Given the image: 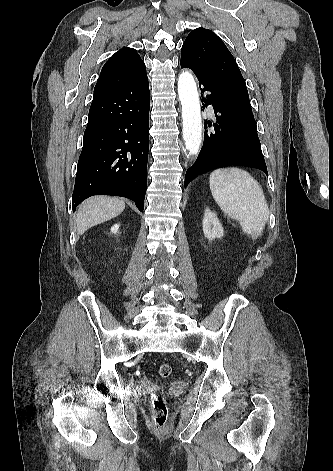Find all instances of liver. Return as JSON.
<instances>
[{
  "instance_id": "6515ba94",
  "label": "liver",
  "mask_w": 333,
  "mask_h": 471,
  "mask_svg": "<svg viewBox=\"0 0 333 471\" xmlns=\"http://www.w3.org/2000/svg\"><path fill=\"white\" fill-rule=\"evenodd\" d=\"M125 209V202L116 197L95 196L85 200L76 217L77 234L82 235L89 228L111 220Z\"/></svg>"
}]
</instances>
